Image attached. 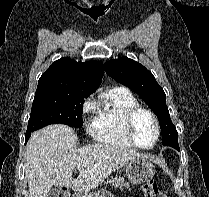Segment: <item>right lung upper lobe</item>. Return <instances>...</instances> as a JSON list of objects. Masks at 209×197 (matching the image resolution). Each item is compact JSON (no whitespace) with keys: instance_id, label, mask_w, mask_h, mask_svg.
<instances>
[{"instance_id":"right-lung-upper-lobe-1","label":"right lung upper lobe","mask_w":209,"mask_h":197,"mask_svg":"<svg viewBox=\"0 0 209 197\" xmlns=\"http://www.w3.org/2000/svg\"><path fill=\"white\" fill-rule=\"evenodd\" d=\"M103 73L99 61L82 63L61 58L48 68L38 83L73 84L95 91L101 84Z\"/></svg>"}]
</instances>
